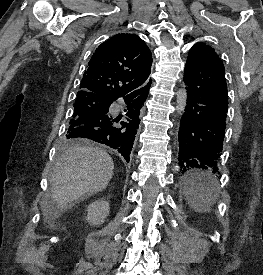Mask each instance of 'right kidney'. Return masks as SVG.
<instances>
[{
	"label": "right kidney",
	"mask_w": 263,
	"mask_h": 275,
	"mask_svg": "<svg viewBox=\"0 0 263 275\" xmlns=\"http://www.w3.org/2000/svg\"><path fill=\"white\" fill-rule=\"evenodd\" d=\"M110 206L105 200H96L87 208L86 220L90 225L99 226L109 215Z\"/></svg>",
	"instance_id": "1"
}]
</instances>
